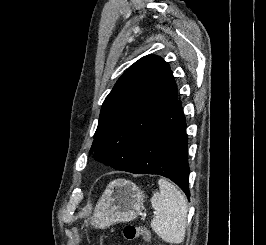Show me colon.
Instances as JSON below:
<instances>
[{
	"mask_svg": "<svg viewBox=\"0 0 266 245\" xmlns=\"http://www.w3.org/2000/svg\"><path fill=\"white\" fill-rule=\"evenodd\" d=\"M123 236L127 240H133L138 236H142L146 241L150 240L151 237L149 230L131 224L124 227Z\"/></svg>",
	"mask_w": 266,
	"mask_h": 245,
	"instance_id": "1",
	"label": "colon"
}]
</instances>
